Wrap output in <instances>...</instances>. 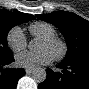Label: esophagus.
Wrapping results in <instances>:
<instances>
[{"label":"esophagus","instance_id":"1","mask_svg":"<svg viewBox=\"0 0 89 89\" xmlns=\"http://www.w3.org/2000/svg\"><path fill=\"white\" fill-rule=\"evenodd\" d=\"M25 72H26L27 74H30V73L33 72V69H32V68H27V69L25 70Z\"/></svg>","mask_w":89,"mask_h":89}]
</instances>
